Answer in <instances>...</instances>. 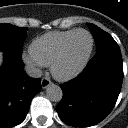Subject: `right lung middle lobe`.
I'll return each instance as SVG.
<instances>
[{"label": "right lung middle lobe", "mask_w": 128, "mask_h": 128, "mask_svg": "<svg viewBox=\"0 0 128 128\" xmlns=\"http://www.w3.org/2000/svg\"><path fill=\"white\" fill-rule=\"evenodd\" d=\"M26 36V27L2 23L0 24V49L21 59L23 40Z\"/></svg>", "instance_id": "right-lung-middle-lobe-1"}]
</instances>
